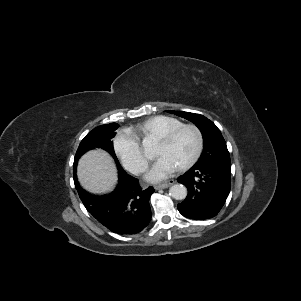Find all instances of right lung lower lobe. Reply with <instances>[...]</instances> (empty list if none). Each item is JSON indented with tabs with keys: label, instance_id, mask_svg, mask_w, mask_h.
I'll use <instances>...</instances> for the list:
<instances>
[{
	"label": "right lung lower lobe",
	"instance_id": "1",
	"mask_svg": "<svg viewBox=\"0 0 301 301\" xmlns=\"http://www.w3.org/2000/svg\"><path fill=\"white\" fill-rule=\"evenodd\" d=\"M119 180L116 189L105 195H92L78 184L76 169L74 183L90 214L110 231L119 235H133L142 231L151 220L149 200L153 187L142 189L138 180L118 165Z\"/></svg>",
	"mask_w": 301,
	"mask_h": 301
}]
</instances>
